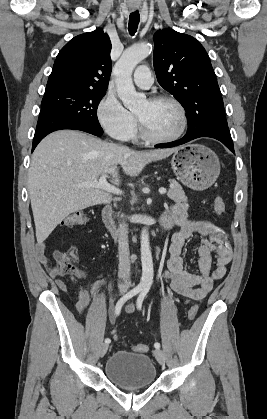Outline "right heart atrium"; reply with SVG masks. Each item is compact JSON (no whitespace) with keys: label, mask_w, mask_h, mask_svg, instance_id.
<instances>
[{"label":"right heart atrium","mask_w":267,"mask_h":419,"mask_svg":"<svg viewBox=\"0 0 267 419\" xmlns=\"http://www.w3.org/2000/svg\"><path fill=\"white\" fill-rule=\"evenodd\" d=\"M97 118L104 131L119 140H128L136 131L134 116L112 94H106L98 104Z\"/></svg>","instance_id":"1"}]
</instances>
